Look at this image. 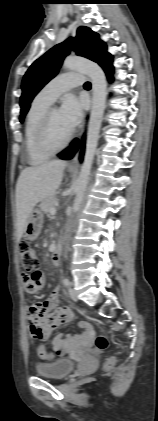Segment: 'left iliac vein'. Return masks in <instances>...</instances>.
Returning a JSON list of instances; mask_svg holds the SVG:
<instances>
[{
  "label": "left iliac vein",
  "instance_id": "obj_1",
  "mask_svg": "<svg viewBox=\"0 0 158 421\" xmlns=\"http://www.w3.org/2000/svg\"><path fill=\"white\" fill-rule=\"evenodd\" d=\"M69 295H70V298H71L72 300L77 301L76 292H75V290L72 288L71 284H70V286H69Z\"/></svg>",
  "mask_w": 158,
  "mask_h": 421
}]
</instances>
